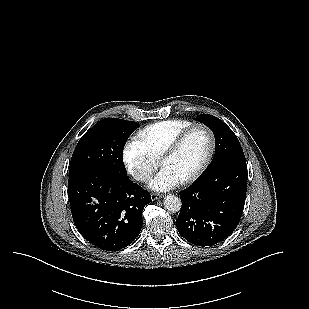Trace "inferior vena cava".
<instances>
[{"instance_id": "inferior-vena-cava-1", "label": "inferior vena cava", "mask_w": 309, "mask_h": 309, "mask_svg": "<svg viewBox=\"0 0 309 309\" xmlns=\"http://www.w3.org/2000/svg\"><path fill=\"white\" fill-rule=\"evenodd\" d=\"M138 179L141 180V181H145L147 179V176L146 175H143V174H140L138 176Z\"/></svg>"}]
</instances>
